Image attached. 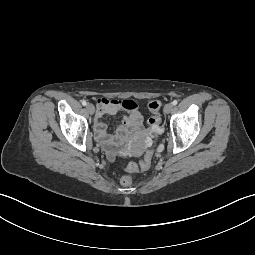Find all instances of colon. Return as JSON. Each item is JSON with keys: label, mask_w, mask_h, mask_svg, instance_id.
Returning a JSON list of instances; mask_svg holds the SVG:
<instances>
[{"label": "colon", "mask_w": 255, "mask_h": 255, "mask_svg": "<svg viewBox=\"0 0 255 255\" xmlns=\"http://www.w3.org/2000/svg\"><path fill=\"white\" fill-rule=\"evenodd\" d=\"M148 109L151 111L152 116L148 120L149 124V130L152 135H156L160 132V123H161V117L159 114L160 109V102L159 101H151L148 103ZM150 158H151V152H148L145 156V159L141 162L140 166L137 165H130L128 167L129 173L123 175L120 179L121 185L128 187L133 183V176L132 172L139 171V170H147L150 165Z\"/></svg>", "instance_id": "obj_1"}]
</instances>
